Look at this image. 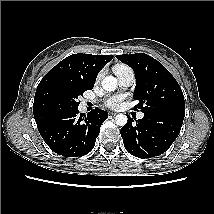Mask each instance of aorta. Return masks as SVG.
<instances>
[{
	"mask_svg": "<svg viewBox=\"0 0 214 214\" xmlns=\"http://www.w3.org/2000/svg\"><path fill=\"white\" fill-rule=\"evenodd\" d=\"M101 85L106 91H114L117 87V79L113 76H107L102 80ZM127 121L128 118L124 114H118L115 117V122L119 126L126 125Z\"/></svg>",
	"mask_w": 214,
	"mask_h": 214,
	"instance_id": "762f6f07",
	"label": "aorta"
}]
</instances>
